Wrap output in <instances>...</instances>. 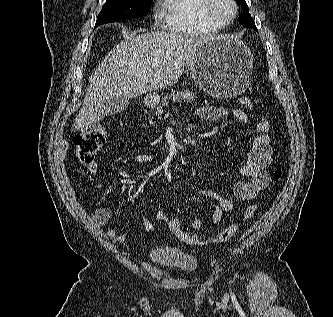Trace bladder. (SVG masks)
<instances>
[{
	"label": "bladder",
	"instance_id": "obj_1",
	"mask_svg": "<svg viewBox=\"0 0 333 317\" xmlns=\"http://www.w3.org/2000/svg\"><path fill=\"white\" fill-rule=\"evenodd\" d=\"M148 257L155 266L176 268L188 274L194 273L198 268L195 256L175 247H154L149 251Z\"/></svg>",
	"mask_w": 333,
	"mask_h": 317
}]
</instances>
